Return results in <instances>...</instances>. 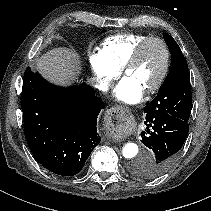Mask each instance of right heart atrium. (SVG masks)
<instances>
[{
    "label": "right heart atrium",
    "instance_id": "1",
    "mask_svg": "<svg viewBox=\"0 0 211 211\" xmlns=\"http://www.w3.org/2000/svg\"><path fill=\"white\" fill-rule=\"evenodd\" d=\"M88 61L95 81L102 90H107L121 73V69L112 65L100 50L89 51Z\"/></svg>",
    "mask_w": 211,
    "mask_h": 211
}]
</instances>
